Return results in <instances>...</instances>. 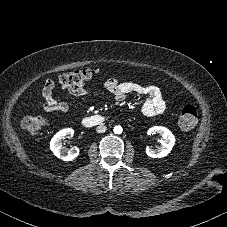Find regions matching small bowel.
Instances as JSON below:
<instances>
[{
  "label": "small bowel",
  "instance_id": "c3829d8e",
  "mask_svg": "<svg viewBox=\"0 0 227 227\" xmlns=\"http://www.w3.org/2000/svg\"><path fill=\"white\" fill-rule=\"evenodd\" d=\"M54 80H46L42 96L44 101L40 104V107L47 112H60L68 113L70 107L67 102L56 99L53 95ZM105 89L111 93L112 97L116 101H121L129 93H135L144 97L142 110L147 116H157L162 114L166 109V104L163 99L161 90L154 85H141L135 82H119L116 78H109L104 83ZM71 95L75 97L84 96L89 93L86 88H80L77 90L69 91Z\"/></svg>",
  "mask_w": 227,
  "mask_h": 227
}]
</instances>
